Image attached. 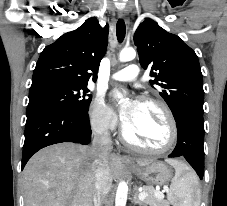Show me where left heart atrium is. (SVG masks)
I'll list each match as a JSON object with an SVG mask.
<instances>
[{
  "label": "left heart atrium",
  "mask_w": 227,
  "mask_h": 206,
  "mask_svg": "<svg viewBox=\"0 0 227 206\" xmlns=\"http://www.w3.org/2000/svg\"><path fill=\"white\" fill-rule=\"evenodd\" d=\"M139 102L133 100L130 101L125 108L121 111L120 113V118L123 124V127L126 128L131 120L133 119L135 113H136V109H137V105Z\"/></svg>",
  "instance_id": "obj_1"
}]
</instances>
